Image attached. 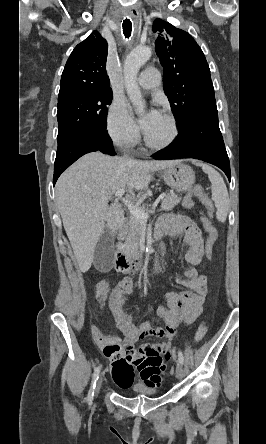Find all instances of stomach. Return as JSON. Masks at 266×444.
<instances>
[{"label": "stomach", "instance_id": "stomach-1", "mask_svg": "<svg viewBox=\"0 0 266 444\" xmlns=\"http://www.w3.org/2000/svg\"><path fill=\"white\" fill-rule=\"evenodd\" d=\"M165 183L177 191H187L195 183L192 168L182 162H177L161 172Z\"/></svg>", "mask_w": 266, "mask_h": 444}]
</instances>
